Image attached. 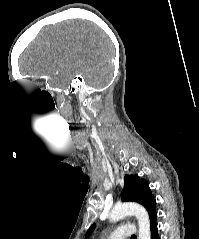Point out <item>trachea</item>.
I'll use <instances>...</instances> for the list:
<instances>
[{"mask_svg":"<svg viewBox=\"0 0 199 239\" xmlns=\"http://www.w3.org/2000/svg\"><path fill=\"white\" fill-rule=\"evenodd\" d=\"M131 239H136V236H135V235H132V236H131Z\"/></svg>","mask_w":199,"mask_h":239,"instance_id":"3493384b","label":"trachea"}]
</instances>
